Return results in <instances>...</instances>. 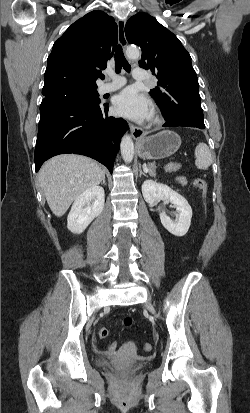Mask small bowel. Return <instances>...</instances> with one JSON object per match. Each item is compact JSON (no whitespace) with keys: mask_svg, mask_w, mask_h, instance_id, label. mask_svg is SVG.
<instances>
[{"mask_svg":"<svg viewBox=\"0 0 250 413\" xmlns=\"http://www.w3.org/2000/svg\"><path fill=\"white\" fill-rule=\"evenodd\" d=\"M178 182H179V184L180 185H186V183H187V180H186V178H184V177H179L178 178Z\"/></svg>","mask_w":250,"mask_h":413,"instance_id":"obj_1","label":"small bowel"}]
</instances>
